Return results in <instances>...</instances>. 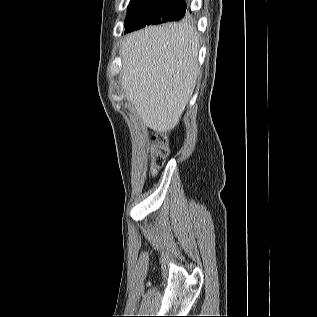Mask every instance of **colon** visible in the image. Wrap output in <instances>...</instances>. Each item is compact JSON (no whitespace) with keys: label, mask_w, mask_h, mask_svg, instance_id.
<instances>
[{"label":"colon","mask_w":317,"mask_h":317,"mask_svg":"<svg viewBox=\"0 0 317 317\" xmlns=\"http://www.w3.org/2000/svg\"><path fill=\"white\" fill-rule=\"evenodd\" d=\"M168 153V149L166 146V141L163 138H158L157 139V144L154 148L153 151V157H152V172L154 173L157 168H159Z\"/></svg>","instance_id":"1"}]
</instances>
